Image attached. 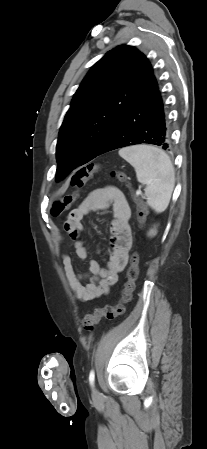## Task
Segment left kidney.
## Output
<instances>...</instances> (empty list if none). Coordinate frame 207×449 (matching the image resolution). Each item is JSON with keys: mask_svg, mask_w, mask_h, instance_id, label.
<instances>
[{"mask_svg": "<svg viewBox=\"0 0 207 449\" xmlns=\"http://www.w3.org/2000/svg\"><path fill=\"white\" fill-rule=\"evenodd\" d=\"M150 234L155 235V234H156V231L152 230V231L150 232Z\"/></svg>", "mask_w": 207, "mask_h": 449, "instance_id": "left-kidney-1", "label": "left kidney"}]
</instances>
